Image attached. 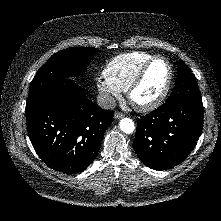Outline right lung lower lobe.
<instances>
[{
    "label": "right lung lower lobe",
    "instance_id": "1",
    "mask_svg": "<svg viewBox=\"0 0 221 221\" xmlns=\"http://www.w3.org/2000/svg\"><path fill=\"white\" fill-rule=\"evenodd\" d=\"M31 143L47 166L73 174L95 159L114 113L99 108L72 80L59 81L26 102Z\"/></svg>",
    "mask_w": 221,
    "mask_h": 221
}]
</instances>
